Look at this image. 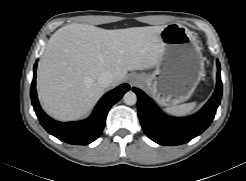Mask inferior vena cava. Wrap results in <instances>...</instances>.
Listing matches in <instances>:
<instances>
[{"mask_svg":"<svg viewBox=\"0 0 246 181\" xmlns=\"http://www.w3.org/2000/svg\"><path fill=\"white\" fill-rule=\"evenodd\" d=\"M113 79H114V76L112 72L105 70L99 75L97 82L103 88H107L112 85Z\"/></svg>","mask_w":246,"mask_h":181,"instance_id":"obj_1","label":"inferior vena cava"}]
</instances>
